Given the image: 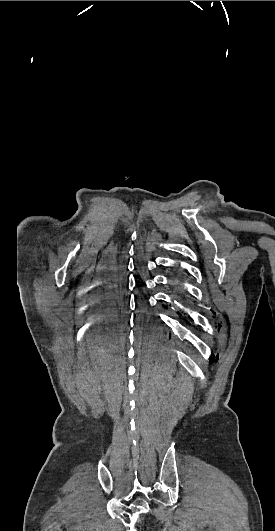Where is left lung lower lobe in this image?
<instances>
[{
    "mask_svg": "<svg viewBox=\"0 0 275 531\" xmlns=\"http://www.w3.org/2000/svg\"><path fill=\"white\" fill-rule=\"evenodd\" d=\"M178 281H179V278L176 279L175 283H177ZM175 292H176L177 296H181L182 295V293L180 292V289L178 287H176Z\"/></svg>",
    "mask_w": 275,
    "mask_h": 531,
    "instance_id": "0a47b994",
    "label": "left lung lower lobe"
}]
</instances>
